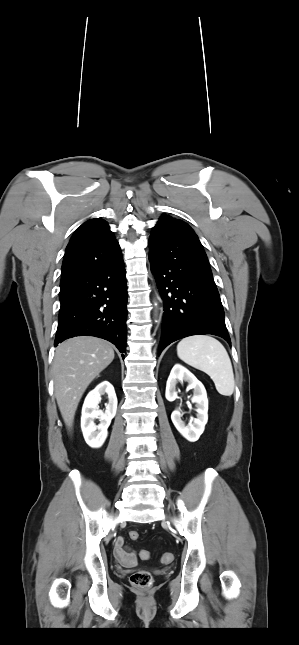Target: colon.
Returning <instances> with one entry per match:
<instances>
[{"label":"colon","instance_id":"1","mask_svg":"<svg viewBox=\"0 0 299 645\" xmlns=\"http://www.w3.org/2000/svg\"><path fill=\"white\" fill-rule=\"evenodd\" d=\"M130 538L132 540H137L139 538V533L137 531L130 532ZM140 557L143 560H147L150 557V553L146 550L140 552ZM161 560L163 563H170L173 560V554L166 552L162 555ZM131 584L138 588H147L150 586L152 577L149 572L140 570L134 572L130 577Z\"/></svg>","mask_w":299,"mask_h":645}]
</instances>
